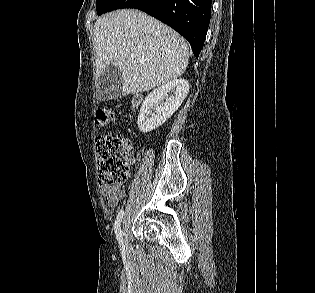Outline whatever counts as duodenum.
<instances>
[{
  "instance_id": "obj_1",
  "label": "duodenum",
  "mask_w": 315,
  "mask_h": 293,
  "mask_svg": "<svg viewBox=\"0 0 315 293\" xmlns=\"http://www.w3.org/2000/svg\"><path fill=\"white\" fill-rule=\"evenodd\" d=\"M140 101H141V96L137 95V96L134 98L133 103H134V105L136 106V105H138V104L140 103Z\"/></svg>"
}]
</instances>
